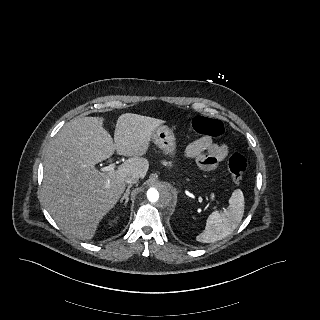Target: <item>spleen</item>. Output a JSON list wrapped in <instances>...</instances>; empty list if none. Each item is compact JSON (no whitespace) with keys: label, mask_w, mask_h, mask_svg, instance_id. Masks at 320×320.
Masks as SVG:
<instances>
[{"label":"spleen","mask_w":320,"mask_h":320,"mask_svg":"<svg viewBox=\"0 0 320 320\" xmlns=\"http://www.w3.org/2000/svg\"><path fill=\"white\" fill-rule=\"evenodd\" d=\"M244 215V196L240 189L235 190L229 207L222 213L213 212L206 220V226L196 239L202 243L222 240L230 235L239 225Z\"/></svg>","instance_id":"spleen-1"}]
</instances>
